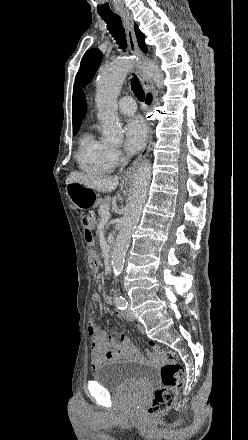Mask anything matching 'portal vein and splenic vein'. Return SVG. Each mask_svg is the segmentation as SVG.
I'll return each mask as SVG.
<instances>
[{
	"mask_svg": "<svg viewBox=\"0 0 248 440\" xmlns=\"http://www.w3.org/2000/svg\"><path fill=\"white\" fill-rule=\"evenodd\" d=\"M101 217L105 221H108L110 219L111 215H110V212H109L108 208H103L102 209Z\"/></svg>",
	"mask_w": 248,
	"mask_h": 440,
	"instance_id": "18ae733b",
	"label": "portal vein and splenic vein"
}]
</instances>
